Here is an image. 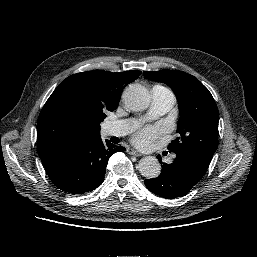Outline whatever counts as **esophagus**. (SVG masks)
I'll return each instance as SVG.
<instances>
[{
    "mask_svg": "<svg viewBox=\"0 0 257 257\" xmlns=\"http://www.w3.org/2000/svg\"><path fill=\"white\" fill-rule=\"evenodd\" d=\"M127 152H128L130 155L137 156V157L142 155L141 153H139L138 151H136V150L133 149V148H128V149H127Z\"/></svg>",
    "mask_w": 257,
    "mask_h": 257,
    "instance_id": "esophagus-1",
    "label": "esophagus"
}]
</instances>
